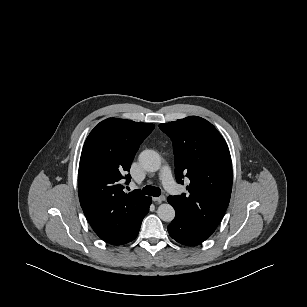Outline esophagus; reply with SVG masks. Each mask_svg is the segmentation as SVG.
<instances>
[{"instance_id":"esophagus-1","label":"esophagus","mask_w":307,"mask_h":307,"mask_svg":"<svg viewBox=\"0 0 307 307\" xmlns=\"http://www.w3.org/2000/svg\"><path fill=\"white\" fill-rule=\"evenodd\" d=\"M152 200H153L154 202L161 203V202H163V201L166 200V197H165L164 195H162V196H160V197H153Z\"/></svg>"}]
</instances>
